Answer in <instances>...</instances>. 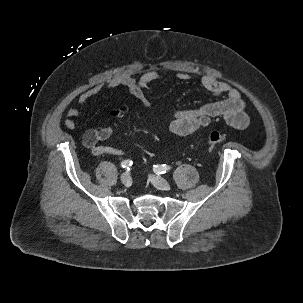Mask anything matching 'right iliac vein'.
Segmentation results:
<instances>
[{"label":"right iliac vein","instance_id":"right-iliac-vein-1","mask_svg":"<svg viewBox=\"0 0 303 303\" xmlns=\"http://www.w3.org/2000/svg\"><path fill=\"white\" fill-rule=\"evenodd\" d=\"M120 179L125 186H129L131 184V176L128 173H123Z\"/></svg>","mask_w":303,"mask_h":303}]
</instances>
